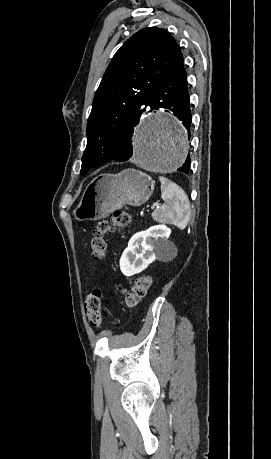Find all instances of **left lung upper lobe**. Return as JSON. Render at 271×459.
Here are the masks:
<instances>
[{"label":"left lung upper lobe","instance_id":"obj_1","mask_svg":"<svg viewBox=\"0 0 271 459\" xmlns=\"http://www.w3.org/2000/svg\"><path fill=\"white\" fill-rule=\"evenodd\" d=\"M183 65L180 46L164 29L144 28L121 46L93 100L81 175L120 152L121 136L146 110L150 92Z\"/></svg>","mask_w":271,"mask_h":459}]
</instances>
